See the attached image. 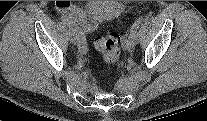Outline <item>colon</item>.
I'll return each instance as SVG.
<instances>
[{
    "instance_id": "colon-1",
    "label": "colon",
    "mask_w": 207,
    "mask_h": 121,
    "mask_svg": "<svg viewBox=\"0 0 207 121\" xmlns=\"http://www.w3.org/2000/svg\"><path fill=\"white\" fill-rule=\"evenodd\" d=\"M120 37L115 32H110L104 37L95 39V47L103 56L104 61L109 65H115L120 58Z\"/></svg>"
}]
</instances>
